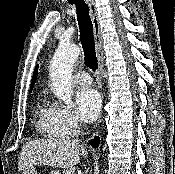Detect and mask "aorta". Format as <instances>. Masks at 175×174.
<instances>
[{
	"label": "aorta",
	"mask_w": 175,
	"mask_h": 174,
	"mask_svg": "<svg viewBox=\"0 0 175 174\" xmlns=\"http://www.w3.org/2000/svg\"><path fill=\"white\" fill-rule=\"evenodd\" d=\"M80 47L61 42L50 64L51 86L54 94L67 106H72V66L80 55Z\"/></svg>",
	"instance_id": "762f6f07"
}]
</instances>
